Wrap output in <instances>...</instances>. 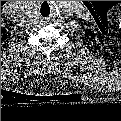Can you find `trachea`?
Listing matches in <instances>:
<instances>
[{
    "instance_id": "obj_1",
    "label": "trachea",
    "mask_w": 121,
    "mask_h": 121,
    "mask_svg": "<svg viewBox=\"0 0 121 121\" xmlns=\"http://www.w3.org/2000/svg\"><path fill=\"white\" fill-rule=\"evenodd\" d=\"M39 13L43 18H47L51 15L50 5L46 1L42 3Z\"/></svg>"
}]
</instances>
